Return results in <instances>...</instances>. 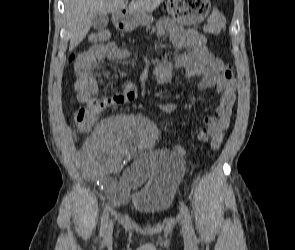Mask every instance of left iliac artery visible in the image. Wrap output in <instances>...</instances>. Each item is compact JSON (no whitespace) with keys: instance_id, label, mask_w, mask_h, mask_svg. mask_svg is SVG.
I'll return each mask as SVG.
<instances>
[{"instance_id":"left-iliac-artery-1","label":"left iliac artery","mask_w":295,"mask_h":250,"mask_svg":"<svg viewBox=\"0 0 295 250\" xmlns=\"http://www.w3.org/2000/svg\"><path fill=\"white\" fill-rule=\"evenodd\" d=\"M181 210H182V213L184 214L185 219H186V221L188 223L191 238L196 239V236H195V233H194V230H193V227H192L191 216H190V213H189V210H188L187 206L184 205V204H181Z\"/></svg>"}]
</instances>
